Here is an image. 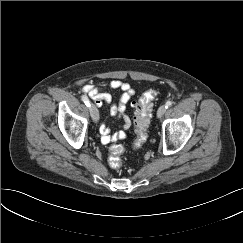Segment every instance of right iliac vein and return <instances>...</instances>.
<instances>
[{
  "mask_svg": "<svg viewBox=\"0 0 243 243\" xmlns=\"http://www.w3.org/2000/svg\"><path fill=\"white\" fill-rule=\"evenodd\" d=\"M89 110H90V115H91L93 121L95 123H97L99 121L98 109L96 108V106L94 104H91Z\"/></svg>",
  "mask_w": 243,
  "mask_h": 243,
  "instance_id": "right-iliac-vein-1",
  "label": "right iliac vein"
}]
</instances>
